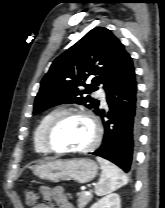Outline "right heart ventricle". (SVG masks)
<instances>
[{"label": "right heart ventricle", "instance_id": "obj_1", "mask_svg": "<svg viewBox=\"0 0 165 208\" xmlns=\"http://www.w3.org/2000/svg\"><path fill=\"white\" fill-rule=\"evenodd\" d=\"M62 111H63L62 108L52 109L51 111L43 115L40 121L38 122L33 134V145L37 153L39 154L50 153V151L46 148L44 144V140H43L44 131L48 126V124Z\"/></svg>", "mask_w": 165, "mask_h": 208}]
</instances>
